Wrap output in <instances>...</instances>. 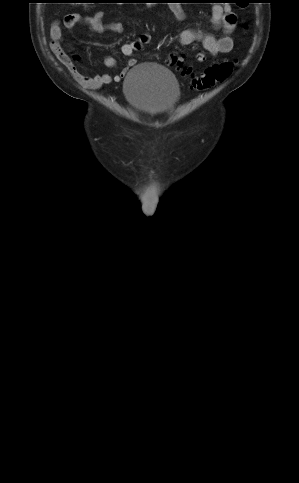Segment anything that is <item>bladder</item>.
Segmentation results:
<instances>
[{
  "label": "bladder",
  "instance_id": "obj_1",
  "mask_svg": "<svg viewBox=\"0 0 299 483\" xmlns=\"http://www.w3.org/2000/svg\"><path fill=\"white\" fill-rule=\"evenodd\" d=\"M123 91L130 105L147 114L165 112L180 99L173 73L150 62L139 64L127 73Z\"/></svg>",
  "mask_w": 299,
  "mask_h": 483
}]
</instances>
